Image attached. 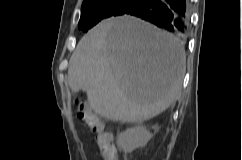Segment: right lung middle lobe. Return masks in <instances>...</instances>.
<instances>
[{
	"instance_id": "right-lung-middle-lobe-1",
	"label": "right lung middle lobe",
	"mask_w": 242,
	"mask_h": 160,
	"mask_svg": "<svg viewBox=\"0 0 242 160\" xmlns=\"http://www.w3.org/2000/svg\"><path fill=\"white\" fill-rule=\"evenodd\" d=\"M141 0H84L81 9L79 29L87 32L99 21L111 16L125 14Z\"/></svg>"
}]
</instances>
